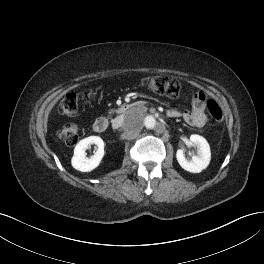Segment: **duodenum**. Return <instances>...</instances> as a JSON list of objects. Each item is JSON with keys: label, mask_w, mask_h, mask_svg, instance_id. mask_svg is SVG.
<instances>
[{"label": "duodenum", "mask_w": 264, "mask_h": 264, "mask_svg": "<svg viewBox=\"0 0 264 264\" xmlns=\"http://www.w3.org/2000/svg\"><path fill=\"white\" fill-rule=\"evenodd\" d=\"M136 106H137L136 104L124 105L120 108V113L124 114L125 112H127L128 110H130ZM109 124H110V122H109V119L107 117H100L94 122L93 130L97 133H102L109 127Z\"/></svg>", "instance_id": "duodenum-1"}]
</instances>
